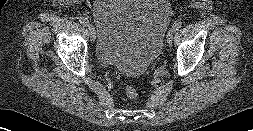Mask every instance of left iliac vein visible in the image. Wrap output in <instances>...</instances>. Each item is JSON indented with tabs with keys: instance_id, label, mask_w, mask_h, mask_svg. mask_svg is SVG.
Here are the masks:
<instances>
[{
	"instance_id": "4c4485c4",
	"label": "left iliac vein",
	"mask_w": 253,
	"mask_h": 131,
	"mask_svg": "<svg viewBox=\"0 0 253 131\" xmlns=\"http://www.w3.org/2000/svg\"><path fill=\"white\" fill-rule=\"evenodd\" d=\"M175 31L176 30L173 27L168 30L167 36H166V40H167L168 45H171Z\"/></svg>"
}]
</instances>
